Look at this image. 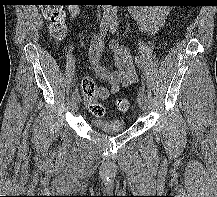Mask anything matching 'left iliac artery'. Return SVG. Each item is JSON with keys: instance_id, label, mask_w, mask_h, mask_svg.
<instances>
[{"instance_id": "obj_1", "label": "left iliac artery", "mask_w": 217, "mask_h": 197, "mask_svg": "<svg viewBox=\"0 0 217 197\" xmlns=\"http://www.w3.org/2000/svg\"><path fill=\"white\" fill-rule=\"evenodd\" d=\"M117 28H118V22L116 20H112L110 24L111 33L115 34ZM135 63L140 68H146L147 66H149V60L144 56H136ZM142 91H144V88H142Z\"/></svg>"}]
</instances>
